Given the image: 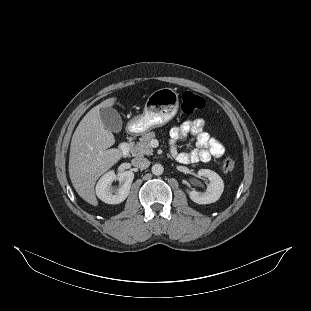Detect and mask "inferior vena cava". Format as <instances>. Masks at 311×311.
Listing matches in <instances>:
<instances>
[{"instance_id": "602c4592", "label": "inferior vena cava", "mask_w": 311, "mask_h": 311, "mask_svg": "<svg viewBox=\"0 0 311 311\" xmlns=\"http://www.w3.org/2000/svg\"><path fill=\"white\" fill-rule=\"evenodd\" d=\"M131 163L134 167H138L141 169H146L150 165L149 160L142 157H136L132 159Z\"/></svg>"}]
</instances>
